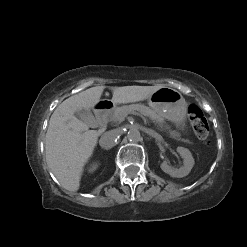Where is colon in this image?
Here are the masks:
<instances>
[{"instance_id": "obj_1", "label": "colon", "mask_w": 247, "mask_h": 247, "mask_svg": "<svg viewBox=\"0 0 247 247\" xmlns=\"http://www.w3.org/2000/svg\"><path fill=\"white\" fill-rule=\"evenodd\" d=\"M188 118L195 135L200 140H207L209 137V125L202 110L195 105L190 106Z\"/></svg>"}]
</instances>
